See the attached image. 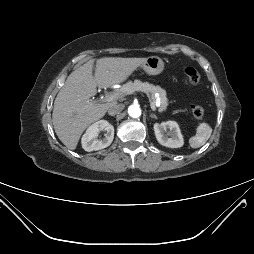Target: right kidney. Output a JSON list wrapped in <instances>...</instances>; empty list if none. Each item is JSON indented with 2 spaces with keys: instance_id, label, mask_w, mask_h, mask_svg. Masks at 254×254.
Segmentation results:
<instances>
[{
  "instance_id": "obj_1",
  "label": "right kidney",
  "mask_w": 254,
  "mask_h": 254,
  "mask_svg": "<svg viewBox=\"0 0 254 254\" xmlns=\"http://www.w3.org/2000/svg\"><path fill=\"white\" fill-rule=\"evenodd\" d=\"M100 131H105L103 139H97ZM114 139V127L106 120L92 124L82 136V148L87 151H97L108 147Z\"/></svg>"
}]
</instances>
